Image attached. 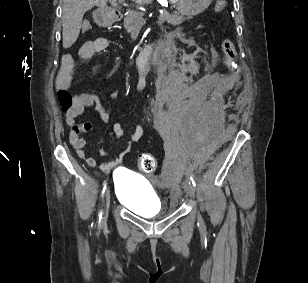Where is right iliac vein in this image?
<instances>
[{
  "label": "right iliac vein",
  "instance_id": "right-iliac-vein-1",
  "mask_svg": "<svg viewBox=\"0 0 308 283\" xmlns=\"http://www.w3.org/2000/svg\"><path fill=\"white\" fill-rule=\"evenodd\" d=\"M104 202H105V205H104V210H103V215H104L103 218L105 219L108 213L109 205H110V190L109 189H107L105 192Z\"/></svg>",
  "mask_w": 308,
  "mask_h": 283
}]
</instances>
